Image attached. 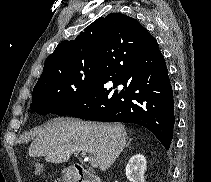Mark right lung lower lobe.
Wrapping results in <instances>:
<instances>
[{
    "label": "right lung lower lobe",
    "instance_id": "right-lung-lower-lobe-1",
    "mask_svg": "<svg viewBox=\"0 0 211 182\" xmlns=\"http://www.w3.org/2000/svg\"><path fill=\"white\" fill-rule=\"evenodd\" d=\"M96 67L89 89L62 115L138 124L150 130L168 150L175 121L173 91L154 37L130 43L105 38ZM109 81L113 87L107 85ZM119 85L123 89L115 90Z\"/></svg>",
    "mask_w": 211,
    "mask_h": 182
}]
</instances>
